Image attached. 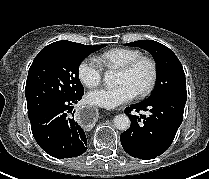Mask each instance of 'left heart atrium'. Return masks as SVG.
Here are the masks:
<instances>
[{
	"label": "left heart atrium",
	"instance_id": "39dd6f15",
	"mask_svg": "<svg viewBox=\"0 0 209 179\" xmlns=\"http://www.w3.org/2000/svg\"><path fill=\"white\" fill-rule=\"evenodd\" d=\"M136 96L135 91L127 84H120L113 88H102L91 91L87 95L89 103L113 109L121 104L129 102Z\"/></svg>",
	"mask_w": 209,
	"mask_h": 179
}]
</instances>
